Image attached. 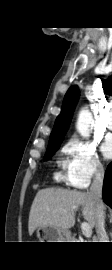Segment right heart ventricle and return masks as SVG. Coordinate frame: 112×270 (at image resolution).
I'll use <instances>...</instances> for the list:
<instances>
[{"mask_svg": "<svg viewBox=\"0 0 112 270\" xmlns=\"http://www.w3.org/2000/svg\"><path fill=\"white\" fill-rule=\"evenodd\" d=\"M56 177H57L58 179H61V178H62L61 175H60L59 173L56 174Z\"/></svg>", "mask_w": 112, "mask_h": 270, "instance_id": "obj_1", "label": "right heart ventricle"}]
</instances>
